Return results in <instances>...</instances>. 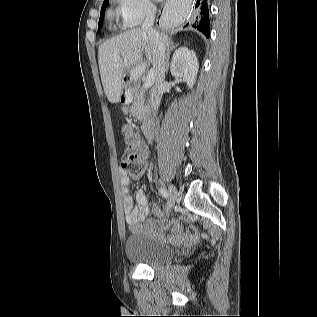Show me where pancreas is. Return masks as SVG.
I'll return each instance as SVG.
<instances>
[{
    "label": "pancreas",
    "instance_id": "1",
    "mask_svg": "<svg viewBox=\"0 0 317 317\" xmlns=\"http://www.w3.org/2000/svg\"><path fill=\"white\" fill-rule=\"evenodd\" d=\"M132 105L130 106L131 114L138 120H143L145 117L147 106L145 105V88L133 89L131 91Z\"/></svg>",
    "mask_w": 317,
    "mask_h": 317
}]
</instances>
